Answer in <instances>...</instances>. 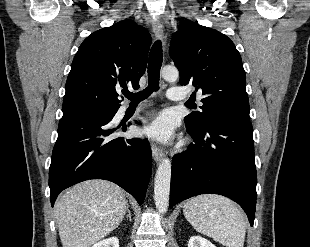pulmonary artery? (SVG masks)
Listing matches in <instances>:
<instances>
[{
    "label": "pulmonary artery",
    "instance_id": "obj_1",
    "mask_svg": "<svg viewBox=\"0 0 310 247\" xmlns=\"http://www.w3.org/2000/svg\"><path fill=\"white\" fill-rule=\"evenodd\" d=\"M167 97L172 101H182L186 99V94L180 87H172L167 91ZM127 109L126 106L122 107L120 113H123Z\"/></svg>",
    "mask_w": 310,
    "mask_h": 247
}]
</instances>
